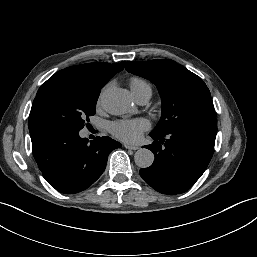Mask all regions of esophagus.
<instances>
[{"label": "esophagus", "instance_id": "34e87169", "mask_svg": "<svg viewBox=\"0 0 257 257\" xmlns=\"http://www.w3.org/2000/svg\"><path fill=\"white\" fill-rule=\"evenodd\" d=\"M124 147L126 149H130V150H138L139 146H134V145H129V144H125Z\"/></svg>", "mask_w": 257, "mask_h": 257}]
</instances>
